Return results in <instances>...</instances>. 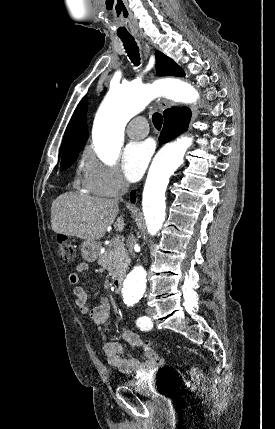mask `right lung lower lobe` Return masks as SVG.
<instances>
[{
    "mask_svg": "<svg viewBox=\"0 0 275 429\" xmlns=\"http://www.w3.org/2000/svg\"><path fill=\"white\" fill-rule=\"evenodd\" d=\"M191 118V111L186 107H174L164 111V127L161 131L160 142L166 143L187 130ZM135 191L131 192V201L134 203Z\"/></svg>",
    "mask_w": 275,
    "mask_h": 429,
    "instance_id": "right-lung-lower-lobe-1",
    "label": "right lung lower lobe"
}]
</instances>
